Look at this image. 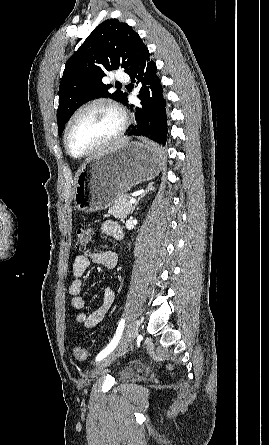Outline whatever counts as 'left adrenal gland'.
<instances>
[{"mask_svg": "<svg viewBox=\"0 0 269 445\" xmlns=\"http://www.w3.org/2000/svg\"><path fill=\"white\" fill-rule=\"evenodd\" d=\"M153 182H150L146 188V190L138 197L137 201L135 202L133 208H132V212L135 210L136 206L138 205L139 201L141 200V198H143L148 192L153 191L155 188L153 187Z\"/></svg>", "mask_w": 269, "mask_h": 445, "instance_id": "obj_1", "label": "left adrenal gland"}]
</instances>
